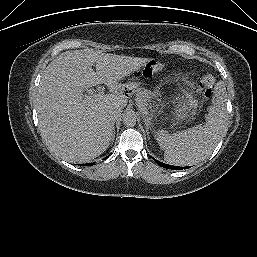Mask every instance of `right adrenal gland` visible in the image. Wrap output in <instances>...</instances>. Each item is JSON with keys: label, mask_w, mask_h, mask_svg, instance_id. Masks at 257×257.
Returning a JSON list of instances; mask_svg holds the SVG:
<instances>
[{"label": "right adrenal gland", "mask_w": 257, "mask_h": 257, "mask_svg": "<svg viewBox=\"0 0 257 257\" xmlns=\"http://www.w3.org/2000/svg\"><path fill=\"white\" fill-rule=\"evenodd\" d=\"M114 139H115V128H114V126H113V133H112L111 141L113 142V141H114Z\"/></svg>", "instance_id": "obj_1"}]
</instances>
